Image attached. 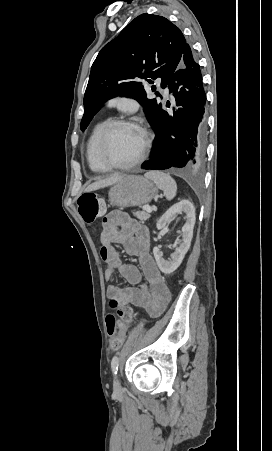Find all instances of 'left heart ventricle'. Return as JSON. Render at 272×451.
<instances>
[{"instance_id": "left-heart-ventricle-1", "label": "left heart ventricle", "mask_w": 272, "mask_h": 451, "mask_svg": "<svg viewBox=\"0 0 272 451\" xmlns=\"http://www.w3.org/2000/svg\"><path fill=\"white\" fill-rule=\"evenodd\" d=\"M138 132L132 127L115 126L108 137L105 160L110 166L124 164L130 158Z\"/></svg>"}]
</instances>
